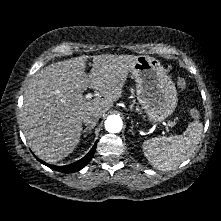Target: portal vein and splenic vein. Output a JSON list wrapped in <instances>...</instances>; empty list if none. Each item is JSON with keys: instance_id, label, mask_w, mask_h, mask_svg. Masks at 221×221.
Listing matches in <instances>:
<instances>
[{"instance_id": "1", "label": "portal vein and splenic vein", "mask_w": 221, "mask_h": 221, "mask_svg": "<svg viewBox=\"0 0 221 221\" xmlns=\"http://www.w3.org/2000/svg\"><path fill=\"white\" fill-rule=\"evenodd\" d=\"M85 100H88V99H90V98H92V94H87V95H85ZM163 125L166 127V128H168V127H170V126H173V124L171 123V124H167V123H163Z\"/></svg>"}]
</instances>
